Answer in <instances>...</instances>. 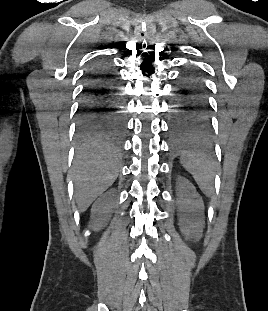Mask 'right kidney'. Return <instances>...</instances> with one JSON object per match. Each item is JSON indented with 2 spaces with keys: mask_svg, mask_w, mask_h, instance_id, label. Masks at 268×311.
I'll return each mask as SVG.
<instances>
[{
  "mask_svg": "<svg viewBox=\"0 0 268 311\" xmlns=\"http://www.w3.org/2000/svg\"><path fill=\"white\" fill-rule=\"evenodd\" d=\"M115 189L101 195L91 209L90 227L94 230L101 229L109 219L115 208Z\"/></svg>",
  "mask_w": 268,
  "mask_h": 311,
  "instance_id": "ca27d5eb",
  "label": "right kidney"
}]
</instances>
